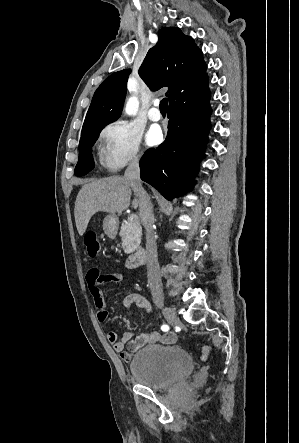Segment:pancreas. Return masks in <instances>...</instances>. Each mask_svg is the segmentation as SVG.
Wrapping results in <instances>:
<instances>
[{
	"instance_id": "1",
	"label": "pancreas",
	"mask_w": 299,
	"mask_h": 443,
	"mask_svg": "<svg viewBox=\"0 0 299 443\" xmlns=\"http://www.w3.org/2000/svg\"><path fill=\"white\" fill-rule=\"evenodd\" d=\"M122 239V248L126 254L134 252L141 241L142 229L137 218L136 221L122 223L119 233Z\"/></svg>"
}]
</instances>
